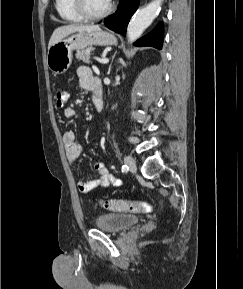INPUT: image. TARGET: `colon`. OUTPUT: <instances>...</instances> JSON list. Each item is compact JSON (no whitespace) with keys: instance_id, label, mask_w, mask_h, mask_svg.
<instances>
[{"instance_id":"1","label":"colon","mask_w":243,"mask_h":289,"mask_svg":"<svg viewBox=\"0 0 243 289\" xmlns=\"http://www.w3.org/2000/svg\"><path fill=\"white\" fill-rule=\"evenodd\" d=\"M68 99V94L65 90H58L55 94V104L58 108L64 107ZM104 209L131 212V213H150L152 207L147 202L142 201H127V200H102L100 202Z\"/></svg>"}]
</instances>
